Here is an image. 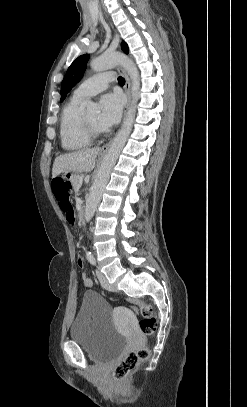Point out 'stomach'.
<instances>
[{"instance_id":"0dacf381","label":"stomach","mask_w":247,"mask_h":407,"mask_svg":"<svg viewBox=\"0 0 247 407\" xmlns=\"http://www.w3.org/2000/svg\"><path fill=\"white\" fill-rule=\"evenodd\" d=\"M61 175L62 178L72 181L73 178H77L78 172L77 169H62Z\"/></svg>"}]
</instances>
